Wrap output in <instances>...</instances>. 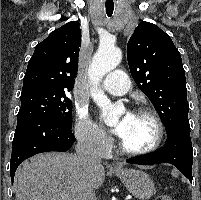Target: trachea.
Wrapping results in <instances>:
<instances>
[{
  "label": "trachea",
  "instance_id": "3493384b",
  "mask_svg": "<svg viewBox=\"0 0 201 200\" xmlns=\"http://www.w3.org/2000/svg\"><path fill=\"white\" fill-rule=\"evenodd\" d=\"M105 10H106L107 16L111 17L114 11V5H106Z\"/></svg>",
  "mask_w": 201,
  "mask_h": 200
}]
</instances>
